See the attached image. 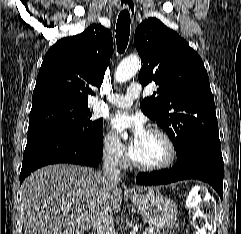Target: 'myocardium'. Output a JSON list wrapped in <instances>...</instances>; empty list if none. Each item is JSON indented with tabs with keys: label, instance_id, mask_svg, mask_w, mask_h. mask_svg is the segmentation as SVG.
Masks as SVG:
<instances>
[{
	"label": "myocardium",
	"instance_id": "1",
	"mask_svg": "<svg viewBox=\"0 0 241 234\" xmlns=\"http://www.w3.org/2000/svg\"><path fill=\"white\" fill-rule=\"evenodd\" d=\"M148 132L152 133V134H156L164 140V142L167 146V149H168V156H167L166 160L163 161L162 163H159L156 165L141 164L134 159L132 152L130 150L129 161H130L131 165L133 167H135L136 169H138L140 171H145V172H156V171H162V170L169 168L170 166L173 165V163L175 162L176 157H177V149H176V145H175L173 139L165 130H163L159 127L151 128V129H149Z\"/></svg>",
	"mask_w": 241,
	"mask_h": 234
}]
</instances>
